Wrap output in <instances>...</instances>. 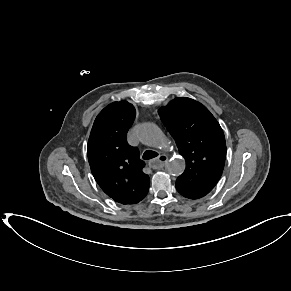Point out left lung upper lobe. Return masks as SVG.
<instances>
[{"label":"left lung upper lobe","instance_id":"1","mask_svg":"<svg viewBox=\"0 0 291 291\" xmlns=\"http://www.w3.org/2000/svg\"><path fill=\"white\" fill-rule=\"evenodd\" d=\"M159 115L186 161L185 171L176 180L177 191L190 199L204 197L224 169L222 128L204 105L187 97L175 98L159 109Z\"/></svg>","mask_w":291,"mask_h":291}]
</instances>
